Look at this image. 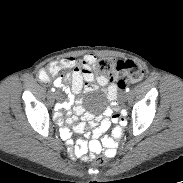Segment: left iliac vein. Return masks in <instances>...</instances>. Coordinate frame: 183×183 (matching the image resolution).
Returning <instances> with one entry per match:
<instances>
[{"label":"left iliac vein","mask_w":183,"mask_h":183,"mask_svg":"<svg viewBox=\"0 0 183 183\" xmlns=\"http://www.w3.org/2000/svg\"><path fill=\"white\" fill-rule=\"evenodd\" d=\"M121 97H122V100L123 101L127 100L128 93L127 92H123L122 95H121Z\"/></svg>","instance_id":"obj_1"}]
</instances>
